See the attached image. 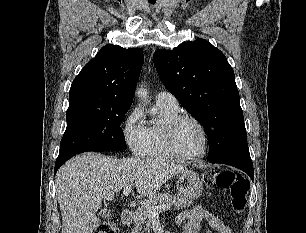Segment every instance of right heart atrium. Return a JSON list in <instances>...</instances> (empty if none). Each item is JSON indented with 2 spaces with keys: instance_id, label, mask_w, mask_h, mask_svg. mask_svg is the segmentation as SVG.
I'll return each mask as SVG.
<instances>
[{
  "instance_id": "d8ad5b80",
  "label": "right heart atrium",
  "mask_w": 306,
  "mask_h": 233,
  "mask_svg": "<svg viewBox=\"0 0 306 233\" xmlns=\"http://www.w3.org/2000/svg\"><path fill=\"white\" fill-rule=\"evenodd\" d=\"M122 134L126 145L135 156L146 155L147 126L144 123L143 112L135 107L124 120Z\"/></svg>"
}]
</instances>
